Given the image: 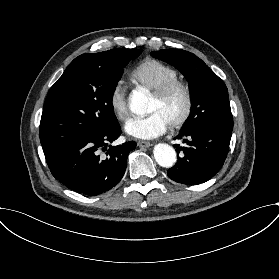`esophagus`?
Returning a JSON list of instances; mask_svg holds the SVG:
<instances>
[{
  "label": "esophagus",
  "mask_w": 279,
  "mask_h": 279,
  "mask_svg": "<svg viewBox=\"0 0 279 279\" xmlns=\"http://www.w3.org/2000/svg\"><path fill=\"white\" fill-rule=\"evenodd\" d=\"M137 145H138L139 147H142V148H148V147L152 146L151 143H149V142H147V141H142V140L138 141V142H137Z\"/></svg>",
  "instance_id": "34e87169"
}]
</instances>
